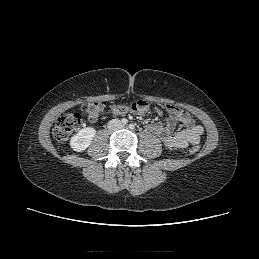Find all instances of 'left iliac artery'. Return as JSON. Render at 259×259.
<instances>
[{
	"mask_svg": "<svg viewBox=\"0 0 259 259\" xmlns=\"http://www.w3.org/2000/svg\"><path fill=\"white\" fill-rule=\"evenodd\" d=\"M129 128H130L131 130H133V129L135 128V126H134L133 124H130V125H129Z\"/></svg>",
	"mask_w": 259,
	"mask_h": 259,
	"instance_id": "left-iliac-artery-1",
	"label": "left iliac artery"
}]
</instances>
